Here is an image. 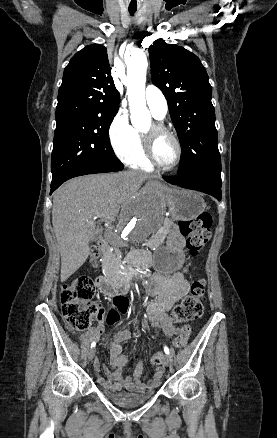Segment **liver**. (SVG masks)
<instances>
[{"label":"liver","mask_w":277,"mask_h":438,"mask_svg":"<svg viewBox=\"0 0 277 438\" xmlns=\"http://www.w3.org/2000/svg\"><path fill=\"white\" fill-rule=\"evenodd\" d=\"M147 178L150 176L146 172L138 170L91 174L73 178L54 192L52 224L61 254V282H66L86 262L96 218L110 224L123 204L122 218L124 205H132L133 189L141 188Z\"/></svg>","instance_id":"obj_1"}]
</instances>
